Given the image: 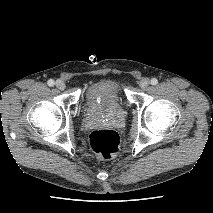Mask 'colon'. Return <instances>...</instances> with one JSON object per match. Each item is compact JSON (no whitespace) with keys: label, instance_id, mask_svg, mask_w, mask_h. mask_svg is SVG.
<instances>
[{"label":"colon","instance_id":"colon-1","mask_svg":"<svg viewBox=\"0 0 213 213\" xmlns=\"http://www.w3.org/2000/svg\"><path fill=\"white\" fill-rule=\"evenodd\" d=\"M89 144L98 158L110 159L119 151L120 137L115 130L97 129L90 133Z\"/></svg>","mask_w":213,"mask_h":213}]
</instances>
